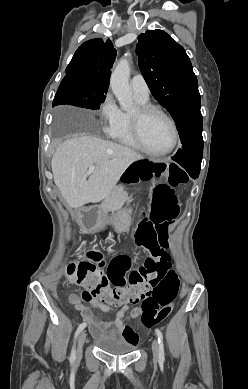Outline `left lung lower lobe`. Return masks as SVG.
Returning a JSON list of instances; mask_svg holds the SVG:
<instances>
[{"label":"left lung lower lobe","mask_w":248,"mask_h":389,"mask_svg":"<svg viewBox=\"0 0 248 389\" xmlns=\"http://www.w3.org/2000/svg\"><path fill=\"white\" fill-rule=\"evenodd\" d=\"M180 137L187 140L172 157V160L180 164L193 178H197L203 156L202 115L200 104H195L185 109L176 120Z\"/></svg>","instance_id":"left-lung-lower-lobe-1"}]
</instances>
